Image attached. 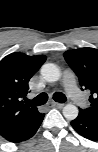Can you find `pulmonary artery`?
Returning <instances> with one entry per match:
<instances>
[{"label":"pulmonary artery","mask_w":98,"mask_h":152,"mask_svg":"<svg viewBox=\"0 0 98 152\" xmlns=\"http://www.w3.org/2000/svg\"><path fill=\"white\" fill-rule=\"evenodd\" d=\"M63 86L68 94V96L76 103L79 105H83L86 103L85 96L79 91L77 85H76V79L74 75L66 71L63 74Z\"/></svg>","instance_id":"obj_1"}]
</instances>
